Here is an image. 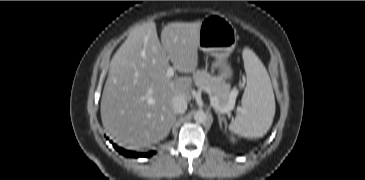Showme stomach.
I'll return each mask as SVG.
<instances>
[{"label": "stomach", "mask_w": 365, "mask_h": 180, "mask_svg": "<svg viewBox=\"0 0 365 180\" xmlns=\"http://www.w3.org/2000/svg\"><path fill=\"white\" fill-rule=\"evenodd\" d=\"M237 40L236 29L226 18L209 15L201 21L199 48L215 58L212 70H220L226 79L232 77L233 71L227 59L236 47Z\"/></svg>", "instance_id": "obj_1"}]
</instances>
